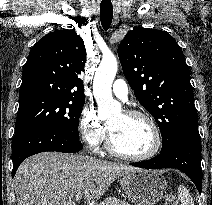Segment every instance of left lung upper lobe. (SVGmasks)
Here are the masks:
<instances>
[{
	"label": "left lung upper lobe",
	"instance_id": "1",
	"mask_svg": "<svg viewBox=\"0 0 212 205\" xmlns=\"http://www.w3.org/2000/svg\"><path fill=\"white\" fill-rule=\"evenodd\" d=\"M125 77L155 118L167 150L180 133L198 124L189 68L182 49L165 31L135 28L118 47Z\"/></svg>",
	"mask_w": 212,
	"mask_h": 205
}]
</instances>
